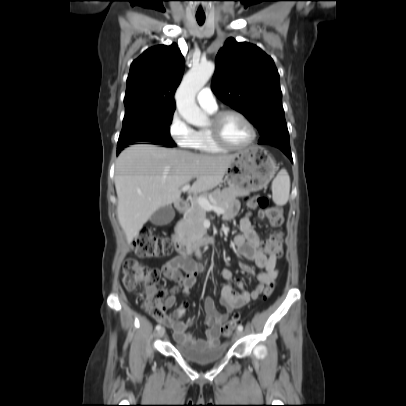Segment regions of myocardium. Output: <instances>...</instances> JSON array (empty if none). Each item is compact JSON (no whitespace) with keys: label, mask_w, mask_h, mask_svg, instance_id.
I'll return each mask as SVG.
<instances>
[{"label":"myocardium","mask_w":406,"mask_h":406,"mask_svg":"<svg viewBox=\"0 0 406 406\" xmlns=\"http://www.w3.org/2000/svg\"><path fill=\"white\" fill-rule=\"evenodd\" d=\"M228 114H233L239 117L249 128L251 136L250 139L247 143L241 146H235V145H230L228 144L221 133V123L223 118L228 115ZM213 141L221 148L224 150H231V151H239V150H244L249 148L251 145H253L257 139V131L254 126V124L251 122V120L241 111L233 109V108H227V109H222L219 111L214 112L211 115L210 118V123L207 127Z\"/></svg>","instance_id":"obj_1"}]
</instances>
